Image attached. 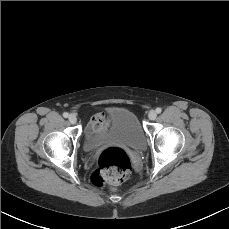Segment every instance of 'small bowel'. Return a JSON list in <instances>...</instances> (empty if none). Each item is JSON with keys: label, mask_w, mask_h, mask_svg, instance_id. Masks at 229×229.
<instances>
[{"label": "small bowel", "mask_w": 229, "mask_h": 229, "mask_svg": "<svg viewBox=\"0 0 229 229\" xmlns=\"http://www.w3.org/2000/svg\"><path fill=\"white\" fill-rule=\"evenodd\" d=\"M109 120L104 112L95 114L87 125L86 131L90 133L105 131L108 127Z\"/></svg>", "instance_id": "obj_1"}]
</instances>
